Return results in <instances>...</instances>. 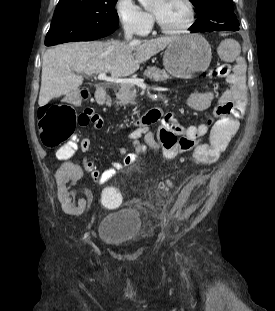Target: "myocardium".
<instances>
[{"instance_id":"f54148a6","label":"myocardium","mask_w":275,"mask_h":311,"mask_svg":"<svg viewBox=\"0 0 275 311\" xmlns=\"http://www.w3.org/2000/svg\"><path fill=\"white\" fill-rule=\"evenodd\" d=\"M183 2L186 4L187 9H188V19L184 25L178 28L170 29L165 27L160 23V21L157 19V17L152 13V17L155 21L156 26L158 29L167 35H175V34H180L185 31H187L194 23L195 17H196V12H195V6L193 4L192 0H183Z\"/></svg>"}]
</instances>
